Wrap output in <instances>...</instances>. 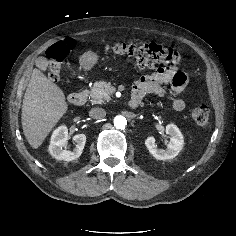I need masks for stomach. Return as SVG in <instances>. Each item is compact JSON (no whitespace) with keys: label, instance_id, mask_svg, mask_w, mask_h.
<instances>
[{"label":"stomach","instance_id":"obj_1","mask_svg":"<svg viewBox=\"0 0 236 236\" xmlns=\"http://www.w3.org/2000/svg\"><path fill=\"white\" fill-rule=\"evenodd\" d=\"M99 60V55L95 52L88 51L80 56L79 64L80 68L84 71L91 70Z\"/></svg>","mask_w":236,"mask_h":236}]
</instances>
